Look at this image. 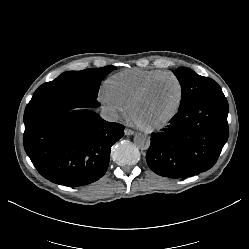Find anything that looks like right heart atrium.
<instances>
[{
    "mask_svg": "<svg viewBox=\"0 0 249 249\" xmlns=\"http://www.w3.org/2000/svg\"><path fill=\"white\" fill-rule=\"evenodd\" d=\"M98 100L108 115L112 118H118L124 115L128 110V106L126 104L111 96L105 90L99 94Z\"/></svg>",
    "mask_w": 249,
    "mask_h": 249,
    "instance_id": "d8ad5b80",
    "label": "right heart atrium"
}]
</instances>
